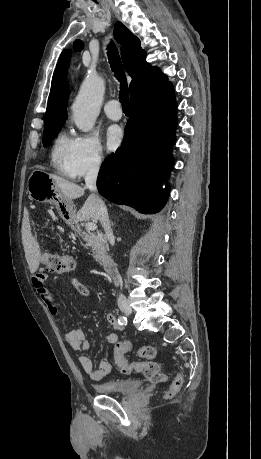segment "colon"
Here are the masks:
<instances>
[{
  "mask_svg": "<svg viewBox=\"0 0 261 459\" xmlns=\"http://www.w3.org/2000/svg\"><path fill=\"white\" fill-rule=\"evenodd\" d=\"M38 251L43 253L41 258L47 261V270L51 272H70L75 268V261L70 255H62L60 252H55L52 255L50 252H45L46 248L44 246L39 247ZM132 349L133 346L128 340H122L116 343L114 353L118 358L117 365L122 373L130 374L132 372H142L152 383H162L168 379L162 365L153 361L156 356V350L153 346L146 345L137 349L138 355L144 358L145 361L128 362L124 356ZM182 383V376L177 375L167 392V396L171 397L175 395L180 390Z\"/></svg>",
  "mask_w": 261,
  "mask_h": 459,
  "instance_id": "obj_1",
  "label": "colon"
}]
</instances>
